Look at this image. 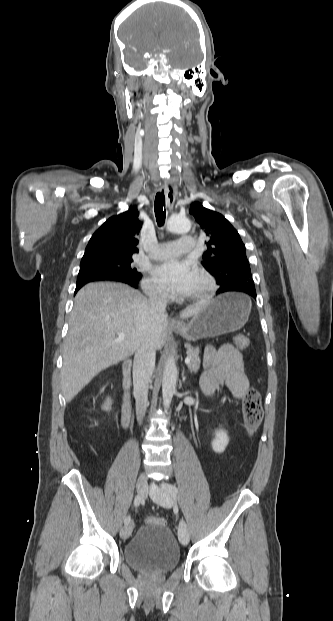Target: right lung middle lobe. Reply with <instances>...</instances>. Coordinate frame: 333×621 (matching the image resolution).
I'll list each match as a JSON object with an SVG mask.
<instances>
[{
	"mask_svg": "<svg viewBox=\"0 0 333 621\" xmlns=\"http://www.w3.org/2000/svg\"><path fill=\"white\" fill-rule=\"evenodd\" d=\"M132 257L86 258L80 263L78 277L104 276L139 281L141 273L132 265Z\"/></svg>",
	"mask_w": 333,
	"mask_h": 621,
	"instance_id": "obj_1",
	"label": "right lung middle lobe"
}]
</instances>
